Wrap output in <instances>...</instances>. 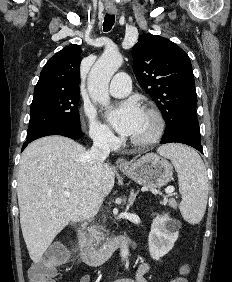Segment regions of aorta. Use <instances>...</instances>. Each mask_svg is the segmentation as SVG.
Returning <instances> with one entry per match:
<instances>
[{"instance_id": "762f6f07", "label": "aorta", "mask_w": 232, "mask_h": 282, "mask_svg": "<svg viewBox=\"0 0 232 282\" xmlns=\"http://www.w3.org/2000/svg\"><path fill=\"white\" fill-rule=\"evenodd\" d=\"M123 63L122 55L116 51H105L96 61L88 76V91L93 101L103 106L110 103L108 92L109 82L114 73ZM122 260L129 255V249L126 244H122L120 248Z\"/></svg>"}]
</instances>
